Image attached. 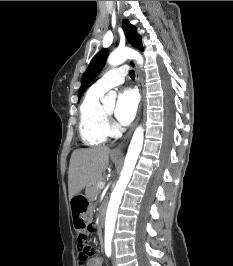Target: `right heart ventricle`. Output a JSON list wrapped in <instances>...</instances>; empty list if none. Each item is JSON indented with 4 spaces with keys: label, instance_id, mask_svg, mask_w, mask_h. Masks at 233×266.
I'll return each mask as SVG.
<instances>
[{
    "label": "right heart ventricle",
    "instance_id": "e07e8e85",
    "mask_svg": "<svg viewBox=\"0 0 233 266\" xmlns=\"http://www.w3.org/2000/svg\"><path fill=\"white\" fill-rule=\"evenodd\" d=\"M104 90L91 86L79 108V133L82 141L89 146L103 144L107 140V118L100 98Z\"/></svg>",
    "mask_w": 233,
    "mask_h": 266
}]
</instances>
